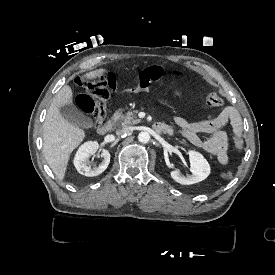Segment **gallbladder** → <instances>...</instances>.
Returning a JSON list of instances; mask_svg holds the SVG:
<instances>
[{
	"label": "gallbladder",
	"instance_id": "obj_1",
	"mask_svg": "<svg viewBox=\"0 0 275 275\" xmlns=\"http://www.w3.org/2000/svg\"><path fill=\"white\" fill-rule=\"evenodd\" d=\"M62 116L71 124L80 128H91L94 120L85 115L80 109L74 105L64 106L60 110Z\"/></svg>",
	"mask_w": 275,
	"mask_h": 275
}]
</instances>
